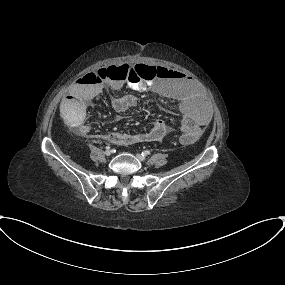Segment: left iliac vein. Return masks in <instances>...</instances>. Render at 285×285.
<instances>
[{
    "mask_svg": "<svg viewBox=\"0 0 285 285\" xmlns=\"http://www.w3.org/2000/svg\"><path fill=\"white\" fill-rule=\"evenodd\" d=\"M136 157L140 160V161H145L146 159H145V157H143L141 154H136Z\"/></svg>",
    "mask_w": 285,
    "mask_h": 285,
    "instance_id": "left-iliac-vein-1",
    "label": "left iliac vein"
}]
</instances>
